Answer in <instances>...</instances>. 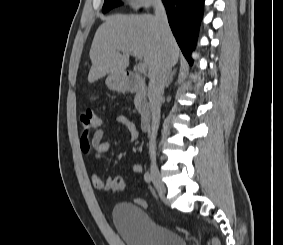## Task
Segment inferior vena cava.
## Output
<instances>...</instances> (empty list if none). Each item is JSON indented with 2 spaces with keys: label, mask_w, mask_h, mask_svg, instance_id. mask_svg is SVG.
<instances>
[{
  "label": "inferior vena cava",
  "mask_w": 283,
  "mask_h": 245,
  "mask_svg": "<svg viewBox=\"0 0 283 245\" xmlns=\"http://www.w3.org/2000/svg\"><path fill=\"white\" fill-rule=\"evenodd\" d=\"M153 7L155 10V16L159 22L162 36L166 37L171 33L165 8L161 0H154ZM171 71V64L167 57H164L159 63L149 81L148 97L151 108V132L149 142V153L152 159H155L156 149V135L160 123V112H161V99L164 93V88L169 78Z\"/></svg>",
  "instance_id": "602c4592"
}]
</instances>
